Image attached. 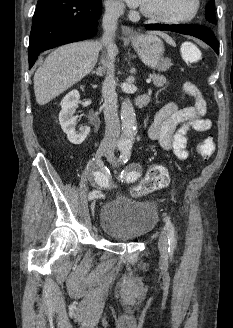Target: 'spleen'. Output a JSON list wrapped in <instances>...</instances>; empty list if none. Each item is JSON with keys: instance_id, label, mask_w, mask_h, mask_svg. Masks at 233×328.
Returning <instances> with one entry per match:
<instances>
[{"instance_id": "1", "label": "spleen", "mask_w": 233, "mask_h": 328, "mask_svg": "<svg viewBox=\"0 0 233 328\" xmlns=\"http://www.w3.org/2000/svg\"><path fill=\"white\" fill-rule=\"evenodd\" d=\"M189 48L192 49L194 53H198V49L194 45L189 44Z\"/></svg>"}]
</instances>
